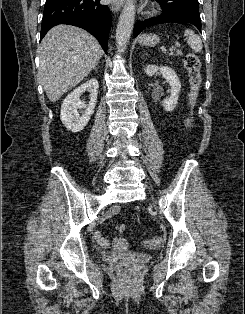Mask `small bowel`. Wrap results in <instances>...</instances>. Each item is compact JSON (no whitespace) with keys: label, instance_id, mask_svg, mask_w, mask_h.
Wrapping results in <instances>:
<instances>
[{"label":"small bowel","instance_id":"small-bowel-1","mask_svg":"<svg viewBox=\"0 0 245 314\" xmlns=\"http://www.w3.org/2000/svg\"><path fill=\"white\" fill-rule=\"evenodd\" d=\"M119 212V207L118 206H113L110 211L106 212L104 214V218L105 219H110L112 216H114L115 214H117ZM118 231L123 232L124 231V226L123 225H119L117 227ZM94 237L97 240L98 244L101 246H108L111 243L113 245L119 246V247H123L127 244V239L123 238V237H113L111 240L106 239L102 236L100 231H95L94 232Z\"/></svg>","mask_w":245,"mask_h":314}]
</instances>
